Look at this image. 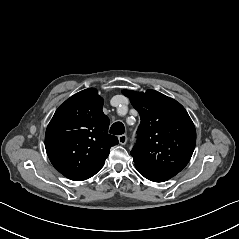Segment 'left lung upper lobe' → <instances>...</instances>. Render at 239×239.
I'll list each match as a JSON object with an SVG mask.
<instances>
[{"mask_svg":"<svg viewBox=\"0 0 239 239\" xmlns=\"http://www.w3.org/2000/svg\"><path fill=\"white\" fill-rule=\"evenodd\" d=\"M139 112L137 144L131 151L136 167L179 173L188 164L196 144L195 126L185 108L155 90H123Z\"/></svg>","mask_w":239,"mask_h":239,"instance_id":"5c2ea615","label":"left lung upper lobe"}]
</instances>
